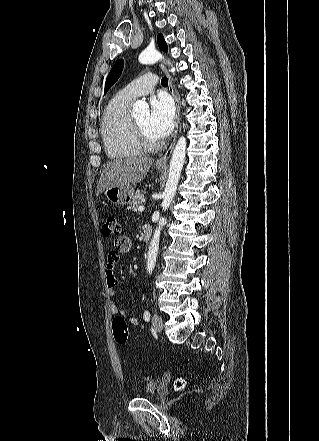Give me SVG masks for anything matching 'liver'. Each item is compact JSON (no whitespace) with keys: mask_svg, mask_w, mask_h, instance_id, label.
<instances>
[{"mask_svg":"<svg viewBox=\"0 0 319 441\" xmlns=\"http://www.w3.org/2000/svg\"><path fill=\"white\" fill-rule=\"evenodd\" d=\"M153 165L150 157L115 159L107 163L97 184L98 196L113 186L131 185L141 182Z\"/></svg>","mask_w":319,"mask_h":441,"instance_id":"liver-1","label":"liver"}]
</instances>
